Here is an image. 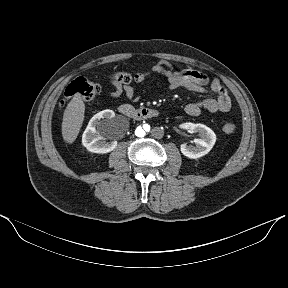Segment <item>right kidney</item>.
I'll list each match as a JSON object with an SVG mask.
<instances>
[{
  "instance_id": "right-kidney-1",
  "label": "right kidney",
  "mask_w": 288,
  "mask_h": 288,
  "mask_svg": "<svg viewBox=\"0 0 288 288\" xmlns=\"http://www.w3.org/2000/svg\"><path fill=\"white\" fill-rule=\"evenodd\" d=\"M113 116L114 112L112 110H104L91 118L82 135V144L88 151L105 154L113 151L116 148V141H105L107 136L105 123Z\"/></svg>"
}]
</instances>
